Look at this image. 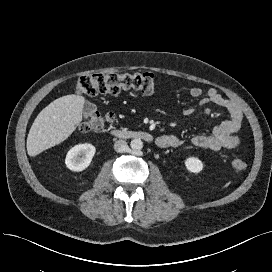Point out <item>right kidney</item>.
Returning <instances> with one entry per match:
<instances>
[{"label":"right kidney","mask_w":272,"mask_h":272,"mask_svg":"<svg viewBox=\"0 0 272 272\" xmlns=\"http://www.w3.org/2000/svg\"><path fill=\"white\" fill-rule=\"evenodd\" d=\"M95 152L96 149L92 144L75 145L66 155V167L76 172L86 169L90 165Z\"/></svg>","instance_id":"right-kidney-1"}]
</instances>
